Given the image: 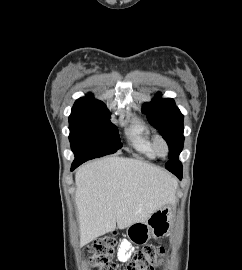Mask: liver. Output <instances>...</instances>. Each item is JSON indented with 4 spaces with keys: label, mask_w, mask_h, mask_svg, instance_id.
I'll return each instance as SVG.
<instances>
[{
    "label": "liver",
    "mask_w": 242,
    "mask_h": 270,
    "mask_svg": "<svg viewBox=\"0 0 242 270\" xmlns=\"http://www.w3.org/2000/svg\"><path fill=\"white\" fill-rule=\"evenodd\" d=\"M81 245L144 222L175 198L177 181L146 162L108 157L80 167L75 175Z\"/></svg>",
    "instance_id": "6515ba94"
}]
</instances>
